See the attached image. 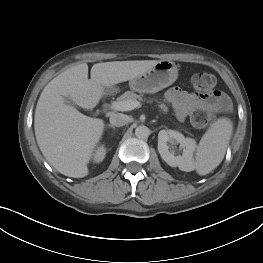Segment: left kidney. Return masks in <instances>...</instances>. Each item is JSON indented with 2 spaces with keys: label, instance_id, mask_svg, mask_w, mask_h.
<instances>
[{
  "label": "left kidney",
  "instance_id": "left-kidney-1",
  "mask_svg": "<svg viewBox=\"0 0 263 263\" xmlns=\"http://www.w3.org/2000/svg\"><path fill=\"white\" fill-rule=\"evenodd\" d=\"M177 143L182 149V155H175L170 150V144ZM196 141L192 138H185L183 134L174 130H161L158 134V151L162 159L172 167H178L182 171L194 169V151Z\"/></svg>",
  "mask_w": 263,
  "mask_h": 263
}]
</instances>
